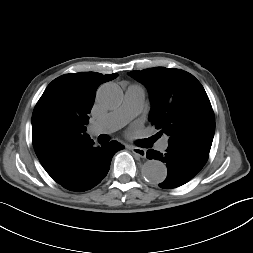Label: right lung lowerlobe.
I'll return each instance as SVG.
<instances>
[{
    "label": "right lung lower lobe",
    "mask_w": 253,
    "mask_h": 253,
    "mask_svg": "<svg viewBox=\"0 0 253 253\" xmlns=\"http://www.w3.org/2000/svg\"><path fill=\"white\" fill-rule=\"evenodd\" d=\"M123 148L116 141H111L108 144L102 145V147H92L78 165L76 178L72 182L62 186L70 191L77 192L93 188L108 173L113 155Z\"/></svg>",
    "instance_id": "obj_1"
}]
</instances>
